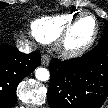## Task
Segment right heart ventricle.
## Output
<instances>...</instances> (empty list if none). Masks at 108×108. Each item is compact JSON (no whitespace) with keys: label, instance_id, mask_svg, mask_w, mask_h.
<instances>
[{"label":"right heart ventricle","instance_id":"obj_1","mask_svg":"<svg viewBox=\"0 0 108 108\" xmlns=\"http://www.w3.org/2000/svg\"><path fill=\"white\" fill-rule=\"evenodd\" d=\"M76 16L75 14H63L38 18L32 22L31 32L41 42H52Z\"/></svg>","mask_w":108,"mask_h":108}]
</instances>
